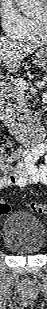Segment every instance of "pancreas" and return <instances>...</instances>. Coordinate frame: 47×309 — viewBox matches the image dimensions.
Listing matches in <instances>:
<instances>
[{
  "label": "pancreas",
  "mask_w": 47,
  "mask_h": 309,
  "mask_svg": "<svg viewBox=\"0 0 47 309\" xmlns=\"http://www.w3.org/2000/svg\"><path fill=\"white\" fill-rule=\"evenodd\" d=\"M46 78V77H44ZM14 91L17 92L19 95L24 96L26 89H18L17 87H14ZM29 113L26 106H23L21 109L17 110L15 113V117L17 121L20 123H26L29 120Z\"/></svg>",
  "instance_id": "1"
}]
</instances>
